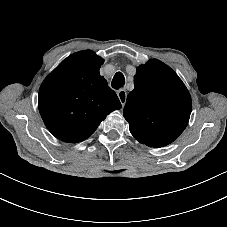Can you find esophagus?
Masks as SVG:
<instances>
[{"label": "esophagus", "instance_id": "34e87169", "mask_svg": "<svg viewBox=\"0 0 227 227\" xmlns=\"http://www.w3.org/2000/svg\"><path fill=\"white\" fill-rule=\"evenodd\" d=\"M117 96H118V98H119V100H120V103H121L122 109H123V107H124V105H125V103H126V99H127L126 90H124V89L118 90V91H117Z\"/></svg>", "mask_w": 227, "mask_h": 227}]
</instances>
